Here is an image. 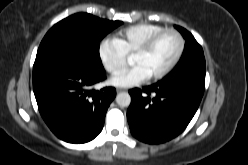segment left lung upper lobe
Returning <instances> with one entry per match:
<instances>
[{
	"label": "left lung upper lobe",
	"mask_w": 248,
	"mask_h": 165,
	"mask_svg": "<svg viewBox=\"0 0 248 165\" xmlns=\"http://www.w3.org/2000/svg\"><path fill=\"white\" fill-rule=\"evenodd\" d=\"M186 40L184 53L173 72L164 79L178 77L194 69H206L205 57L201 45L195 40L193 35L186 29L175 25Z\"/></svg>",
	"instance_id": "left-lung-upper-lobe-1"
}]
</instances>
